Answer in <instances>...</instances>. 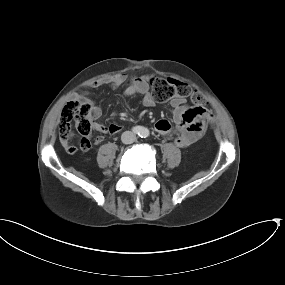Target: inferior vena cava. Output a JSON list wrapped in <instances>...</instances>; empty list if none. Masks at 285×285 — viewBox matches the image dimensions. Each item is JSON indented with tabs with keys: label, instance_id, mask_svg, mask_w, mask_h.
<instances>
[{
	"label": "inferior vena cava",
	"instance_id": "inferior-vena-cava-1",
	"mask_svg": "<svg viewBox=\"0 0 285 285\" xmlns=\"http://www.w3.org/2000/svg\"><path fill=\"white\" fill-rule=\"evenodd\" d=\"M121 140L124 144H131L136 140V135L131 131H125L121 136Z\"/></svg>",
	"mask_w": 285,
	"mask_h": 285
}]
</instances>
